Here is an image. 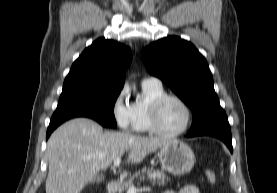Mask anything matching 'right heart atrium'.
Listing matches in <instances>:
<instances>
[{"mask_svg": "<svg viewBox=\"0 0 277 193\" xmlns=\"http://www.w3.org/2000/svg\"><path fill=\"white\" fill-rule=\"evenodd\" d=\"M111 110L113 119L120 129H133L132 105L128 101V94L125 88L121 89L115 96Z\"/></svg>", "mask_w": 277, "mask_h": 193, "instance_id": "obj_1", "label": "right heart atrium"}]
</instances>
